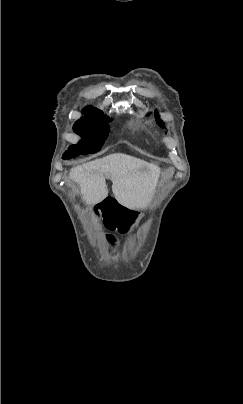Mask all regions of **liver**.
<instances>
[{"label": "liver", "mask_w": 243, "mask_h": 404, "mask_svg": "<svg viewBox=\"0 0 243 404\" xmlns=\"http://www.w3.org/2000/svg\"><path fill=\"white\" fill-rule=\"evenodd\" d=\"M160 168L125 154H111L72 168L69 176L80 186L86 204H98L108 196L105 176L112 180V192L119 204L140 210L149 206L158 184Z\"/></svg>", "instance_id": "1"}]
</instances>
